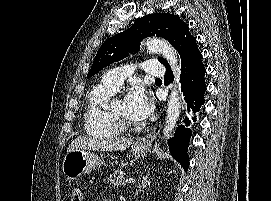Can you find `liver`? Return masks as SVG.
I'll use <instances>...</instances> for the list:
<instances>
[{"mask_svg":"<svg viewBox=\"0 0 271 201\" xmlns=\"http://www.w3.org/2000/svg\"><path fill=\"white\" fill-rule=\"evenodd\" d=\"M131 143V138L99 139L94 137L79 136L71 142L67 149V153L77 149L103 152L118 151L128 148Z\"/></svg>","mask_w":271,"mask_h":201,"instance_id":"1","label":"liver"}]
</instances>
